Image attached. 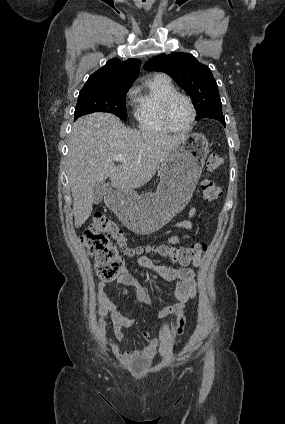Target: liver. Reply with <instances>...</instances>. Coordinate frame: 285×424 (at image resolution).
<instances>
[{
    "mask_svg": "<svg viewBox=\"0 0 285 424\" xmlns=\"http://www.w3.org/2000/svg\"><path fill=\"white\" fill-rule=\"evenodd\" d=\"M185 136L164 135L127 128L109 113H92L73 124L68 139L67 175L73 198L76 228L93 210V186L109 178L119 191L148 183L174 147ZM125 161L115 165V157Z\"/></svg>",
    "mask_w": 285,
    "mask_h": 424,
    "instance_id": "obj_1",
    "label": "liver"
}]
</instances>
